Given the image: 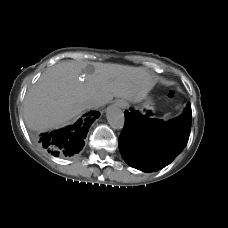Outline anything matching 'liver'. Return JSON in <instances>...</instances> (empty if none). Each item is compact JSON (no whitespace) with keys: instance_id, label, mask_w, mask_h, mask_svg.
Masks as SVG:
<instances>
[{"instance_id":"obj_1","label":"liver","mask_w":228,"mask_h":228,"mask_svg":"<svg viewBox=\"0 0 228 228\" xmlns=\"http://www.w3.org/2000/svg\"><path fill=\"white\" fill-rule=\"evenodd\" d=\"M85 68V64L64 61L41 75L24 100L23 114L29 128L45 131L62 126L89 109L87 101L94 102V108L114 97L139 103L156 84L155 77L143 67L95 63L94 71L82 77Z\"/></svg>"}]
</instances>
